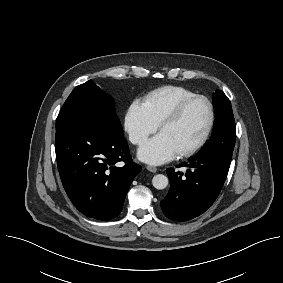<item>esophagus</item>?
Segmentation results:
<instances>
[{
  "mask_svg": "<svg viewBox=\"0 0 283 283\" xmlns=\"http://www.w3.org/2000/svg\"><path fill=\"white\" fill-rule=\"evenodd\" d=\"M146 169L150 172H153V173L157 172V168L154 167V166H147Z\"/></svg>",
  "mask_w": 283,
  "mask_h": 283,
  "instance_id": "34e87169",
  "label": "esophagus"
}]
</instances>
